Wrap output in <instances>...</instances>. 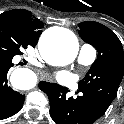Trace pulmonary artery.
<instances>
[{
	"label": "pulmonary artery",
	"instance_id": "pulmonary-artery-1",
	"mask_svg": "<svg viewBox=\"0 0 124 124\" xmlns=\"http://www.w3.org/2000/svg\"><path fill=\"white\" fill-rule=\"evenodd\" d=\"M96 57H97L96 49L89 44H83L80 47L77 61L79 64L87 66L92 64L95 61Z\"/></svg>",
	"mask_w": 124,
	"mask_h": 124
}]
</instances>
